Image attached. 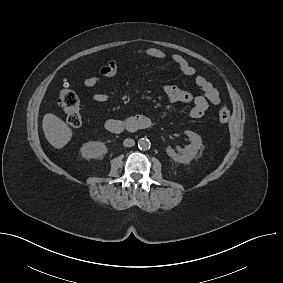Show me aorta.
I'll list each match as a JSON object with an SVG mask.
<instances>
[{
  "label": "aorta",
  "instance_id": "aorta-1",
  "mask_svg": "<svg viewBox=\"0 0 283 283\" xmlns=\"http://www.w3.org/2000/svg\"><path fill=\"white\" fill-rule=\"evenodd\" d=\"M150 146H151V143H150L149 139H147V138H140L138 140V147H139V149L147 150V149L150 148Z\"/></svg>",
  "mask_w": 283,
  "mask_h": 283
}]
</instances>
